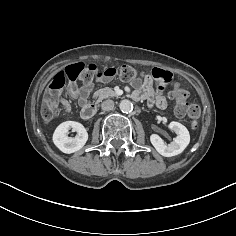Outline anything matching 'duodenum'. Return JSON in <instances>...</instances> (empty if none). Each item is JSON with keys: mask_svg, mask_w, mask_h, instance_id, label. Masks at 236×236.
<instances>
[{"mask_svg": "<svg viewBox=\"0 0 236 236\" xmlns=\"http://www.w3.org/2000/svg\"><path fill=\"white\" fill-rule=\"evenodd\" d=\"M96 112H97V110L94 105L86 104L81 109L80 115H81L82 119L90 120V119L94 118V116L96 115Z\"/></svg>", "mask_w": 236, "mask_h": 236, "instance_id": "obj_1", "label": "duodenum"}]
</instances>
